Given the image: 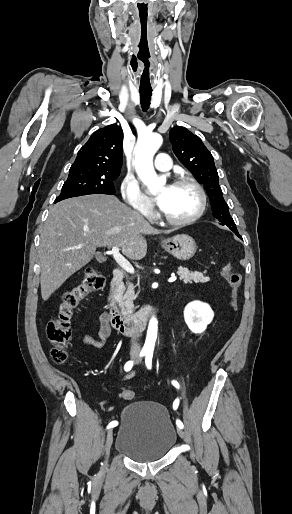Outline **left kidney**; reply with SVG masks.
Returning a JSON list of instances; mask_svg holds the SVG:
<instances>
[{"instance_id":"5707ae66","label":"left kidney","mask_w":292,"mask_h":514,"mask_svg":"<svg viewBox=\"0 0 292 514\" xmlns=\"http://www.w3.org/2000/svg\"><path fill=\"white\" fill-rule=\"evenodd\" d=\"M213 318V310H211L209 304H204V302H190L184 310V320L189 330L194 334L205 332Z\"/></svg>"}]
</instances>
